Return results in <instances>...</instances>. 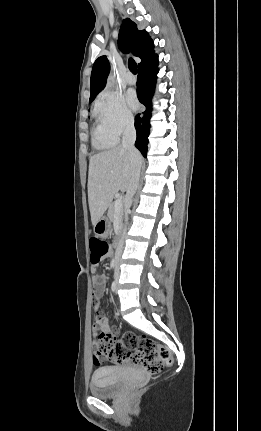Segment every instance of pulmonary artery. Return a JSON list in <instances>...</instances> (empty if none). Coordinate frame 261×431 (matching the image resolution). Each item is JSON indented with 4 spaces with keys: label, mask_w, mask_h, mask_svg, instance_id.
Masks as SVG:
<instances>
[{
    "label": "pulmonary artery",
    "mask_w": 261,
    "mask_h": 431,
    "mask_svg": "<svg viewBox=\"0 0 261 431\" xmlns=\"http://www.w3.org/2000/svg\"><path fill=\"white\" fill-rule=\"evenodd\" d=\"M125 82L129 85H133L136 83V78L132 73H128L125 77Z\"/></svg>",
    "instance_id": "obj_1"
}]
</instances>
